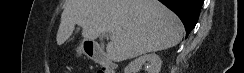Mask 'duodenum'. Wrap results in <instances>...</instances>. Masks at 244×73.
<instances>
[{
  "label": "duodenum",
  "mask_w": 244,
  "mask_h": 73,
  "mask_svg": "<svg viewBox=\"0 0 244 73\" xmlns=\"http://www.w3.org/2000/svg\"><path fill=\"white\" fill-rule=\"evenodd\" d=\"M84 50L91 60L100 65V73H114L112 63L100 45L86 42Z\"/></svg>",
  "instance_id": "duodenum-1"
}]
</instances>
